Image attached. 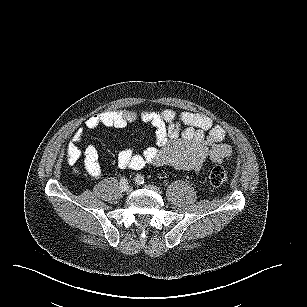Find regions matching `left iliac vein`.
<instances>
[{"instance_id":"obj_1","label":"left iliac vein","mask_w":307,"mask_h":307,"mask_svg":"<svg viewBox=\"0 0 307 307\" xmlns=\"http://www.w3.org/2000/svg\"><path fill=\"white\" fill-rule=\"evenodd\" d=\"M145 188L147 189H150V190H153V191H156L158 193H160V190L158 189L157 186H154V185H145Z\"/></svg>"}]
</instances>
